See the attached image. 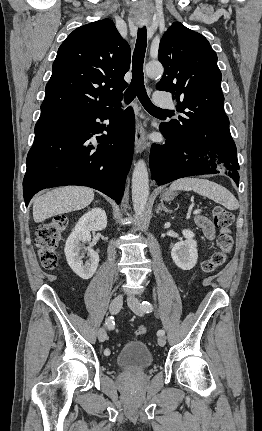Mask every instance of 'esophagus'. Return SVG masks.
<instances>
[{"instance_id":"34e87169","label":"esophagus","mask_w":262,"mask_h":431,"mask_svg":"<svg viewBox=\"0 0 262 431\" xmlns=\"http://www.w3.org/2000/svg\"><path fill=\"white\" fill-rule=\"evenodd\" d=\"M140 118H143V114L139 113ZM135 147L138 152H143L148 147V142L146 138V131L144 124L141 120L137 121L135 130Z\"/></svg>"}]
</instances>
